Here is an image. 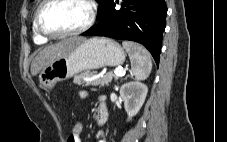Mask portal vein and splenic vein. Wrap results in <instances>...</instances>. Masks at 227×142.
Instances as JSON below:
<instances>
[{
	"label": "portal vein and splenic vein",
	"mask_w": 227,
	"mask_h": 142,
	"mask_svg": "<svg viewBox=\"0 0 227 142\" xmlns=\"http://www.w3.org/2000/svg\"><path fill=\"white\" fill-rule=\"evenodd\" d=\"M124 73L125 72L123 70H116V71H114V73L111 72L110 74H114L115 76L120 77V76H123ZM94 78H96V77H94ZM94 78H85L84 80L90 81V80H93Z\"/></svg>",
	"instance_id": "18ae733b"
}]
</instances>
